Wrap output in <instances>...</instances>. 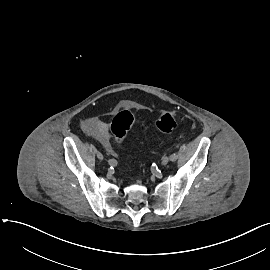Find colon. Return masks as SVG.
<instances>
[{
  "label": "colon",
  "mask_w": 270,
  "mask_h": 270,
  "mask_svg": "<svg viewBox=\"0 0 270 270\" xmlns=\"http://www.w3.org/2000/svg\"><path fill=\"white\" fill-rule=\"evenodd\" d=\"M134 123V117L130 111L119 112L112 121L111 132L116 144L124 142L128 131ZM156 127L163 133H171L177 128V118L172 111H164L156 120Z\"/></svg>",
  "instance_id": "5ec220e1"
}]
</instances>
